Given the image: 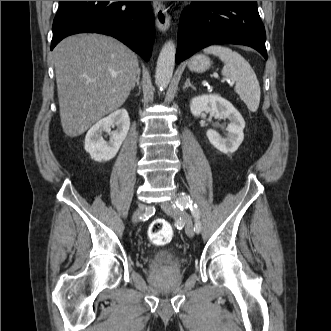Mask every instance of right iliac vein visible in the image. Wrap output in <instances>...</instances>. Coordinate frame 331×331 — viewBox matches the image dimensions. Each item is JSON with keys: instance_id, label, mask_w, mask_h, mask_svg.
I'll use <instances>...</instances> for the list:
<instances>
[{"instance_id": "1", "label": "right iliac vein", "mask_w": 331, "mask_h": 331, "mask_svg": "<svg viewBox=\"0 0 331 331\" xmlns=\"http://www.w3.org/2000/svg\"><path fill=\"white\" fill-rule=\"evenodd\" d=\"M145 208V205L144 204H139V207L138 209L136 210V212L134 213V216H133V222L134 223H137L140 216L142 215V212Z\"/></svg>"}]
</instances>
